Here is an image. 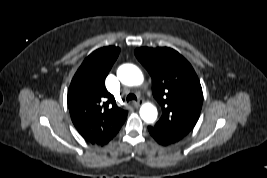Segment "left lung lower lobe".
<instances>
[{"label":"left lung lower lobe","mask_w":267,"mask_h":178,"mask_svg":"<svg viewBox=\"0 0 267 178\" xmlns=\"http://www.w3.org/2000/svg\"><path fill=\"white\" fill-rule=\"evenodd\" d=\"M148 131H149L150 135L153 137V139L160 145L167 146V145L174 143V142L166 139L164 136L161 135V133L158 130H156L155 128H153L151 126L148 127Z\"/></svg>","instance_id":"1"}]
</instances>
